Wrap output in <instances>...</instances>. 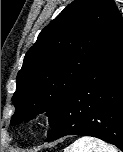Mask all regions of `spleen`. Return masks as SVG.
<instances>
[{
  "instance_id": "obj_1",
  "label": "spleen",
  "mask_w": 123,
  "mask_h": 152,
  "mask_svg": "<svg viewBox=\"0 0 123 152\" xmlns=\"http://www.w3.org/2000/svg\"><path fill=\"white\" fill-rule=\"evenodd\" d=\"M64 152H117V150L100 139L83 136L65 148Z\"/></svg>"
}]
</instances>
